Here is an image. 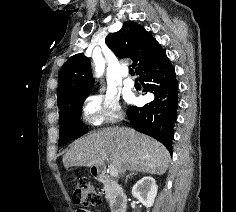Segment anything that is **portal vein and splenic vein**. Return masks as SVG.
Listing matches in <instances>:
<instances>
[{
  "label": "portal vein and splenic vein",
  "instance_id": "obj_1",
  "mask_svg": "<svg viewBox=\"0 0 236 212\" xmlns=\"http://www.w3.org/2000/svg\"><path fill=\"white\" fill-rule=\"evenodd\" d=\"M110 176L111 177H116L118 175V170L114 166H110Z\"/></svg>",
  "mask_w": 236,
  "mask_h": 212
}]
</instances>
